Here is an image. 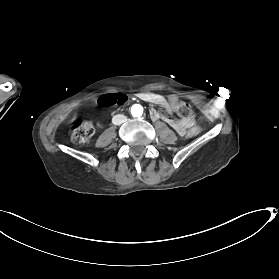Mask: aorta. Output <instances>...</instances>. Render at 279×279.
I'll list each match as a JSON object with an SVG mask.
<instances>
[{
	"label": "aorta",
	"instance_id": "1",
	"mask_svg": "<svg viewBox=\"0 0 279 279\" xmlns=\"http://www.w3.org/2000/svg\"><path fill=\"white\" fill-rule=\"evenodd\" d=\"M131 114L134 116V117H140L142 116L143 114V107L139 104H134L132 107H131Z\"/></svg>",
	"mask_w": 279,
	"mask_h": 279
}]
</instances>
